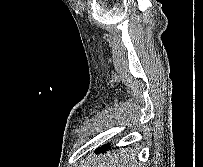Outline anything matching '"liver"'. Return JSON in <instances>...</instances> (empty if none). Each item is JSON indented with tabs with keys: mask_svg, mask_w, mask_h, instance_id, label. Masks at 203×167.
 <instances>
[{
	"mask_svg": "<svg viewBox=\"0 0 203 167\" xmlns=\"http://www.w3.org/2000/svg\"><path fill=\"white\" fill-rule=\"evenodd\" d=\"M135 156L132 149H121L117 153L93 156L92 159L89 156L80 167H138Z\"/></svg>",
	"mask_w": 203,
	"mask_h": 167,
	"instance_id": "1",
	"label": "liver"
}]
</instances>
